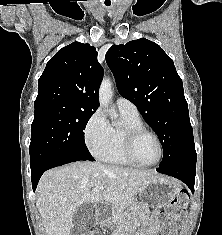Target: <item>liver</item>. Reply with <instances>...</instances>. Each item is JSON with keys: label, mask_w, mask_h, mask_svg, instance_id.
I'll list each match as a JSON object with an SVG mask.
<instances>
[{"label": "liver", "mask_w": 222, "mask_h": 235, "mask_svg": "<svg viewBox=\"0 0 222 235\" xmlns=\"http://www.w3.org/2000/svg\"><path fill=\"white\" fill-rule=\"evenodd\" d=\"M158 178L153 172L100 162H75L45 172L37 186L36 206L46 235H71L73 215L81 204L125 203ZM97 186L104 189L94 192Z\"/></svg>", "instance_id": "6515ba94"}]
</instances>
